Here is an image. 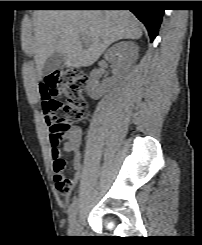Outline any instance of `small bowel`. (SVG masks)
<instances>
[{"instance_id":"1","label":"small bowel","mask_w":202,"mask_h":245,"mask_svg":"<svg viewBox=\"0 0 202 245\" xmlns=\"http://www.w3.org/2000/svg\"><path fill=\"white\" fill-rule=\"evenodd\" d=\"M38 96L42 103L47 102L50 105L56 104L55 94L53 89L47 87L44 83L39 85ZM67 140L63 145V150L73 155L74 174L68 178L65 174L66 160L62 157L60 147L51 148V171L53 173L55 190L58 193L66 195L71 188L81 178L85 166L81 162L80 145L82 141V131L80 128H72L67 132Z\"/></svg>"}]
</instances>
